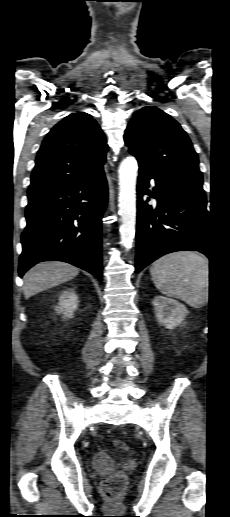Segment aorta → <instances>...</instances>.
Returning <instances> with one entry per match:
<instances>
[{"mask_svg": "<svg viewBox=\"0 0 230 517\" xmlns=\"http://www.w3.org/2000/svg\"><path fill=\"white\" fill-rule=\"evenodd\" d=\"M138 165L133 157L125 158L119 167L120 244L130 249L136 226V179Z\"/></svg>", "mask_w": 230, "mask_h": 517, "instance_id": "aorta-1", "label": "aorta"}]
</instances>
